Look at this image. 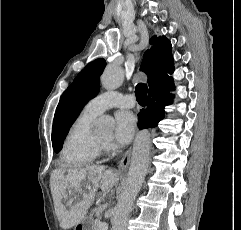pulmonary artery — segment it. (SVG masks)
<instances>
[{
	"instance_id": "obj_1",
	"label": "pulmonary artery",
	"mask_w": 241,
	"mask_h": 230,
	"mask_svg": "<svg viewBox=\"0 0 241 230\" xmlns=\"http://www.w3.org/2000/svg\"><path fill=\"white\" fill-rule=\"evenodd\" d=\"M135 106V99L132 95H123L117 91H106L91 99L84 107V110L93 115H100L112 107L132 108Z\"/></svg>"
}]
</instances>
